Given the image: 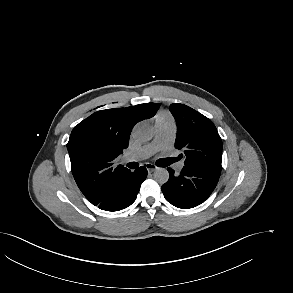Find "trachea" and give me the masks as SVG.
I'll return each instance as SVG.
<instances>
[{"label":"trachea","instance_id":"trachea-1","mask_svg":"<svg viewBox=\"0 0 293 293\" xmlns=\"http://www.w3.org/2000/svg\"><path fill=\"white\" fill-rule=\"evenodd\" d=\"M127 166L129 168H136L137 167L136 164H134V163H129V164H127Z\"/></svg>","mask_w":293,"mask_h":293}]
</instances>
